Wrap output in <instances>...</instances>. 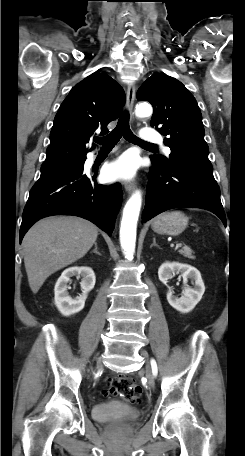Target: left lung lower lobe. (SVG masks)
I'll return each mask as SVG.
<instances>
[{
	"label": "left lung lower lobe",
	"mask_w": 245,
	"mask_h": 456,
	"mask_svg": "<svg viewBox=\"0 0 245 456\" xmlns=\"http://www.w3.org/2000/svg\"><path fill=\"white\" fill-rule=\"evenodd\" d=\"M153 167L148 174L145 222L169 209L195 207L216 214L226 224L220 200V189L213 176V168L180 161L161 164L151 158Z\"/></svg>",
	"instance_id": "obj_1"
}]
</instances>
